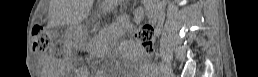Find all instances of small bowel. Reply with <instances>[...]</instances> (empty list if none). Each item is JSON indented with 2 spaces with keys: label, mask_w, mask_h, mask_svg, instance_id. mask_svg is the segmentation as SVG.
Here are the masks:
<instances>
[{
  "label": "small bowel",
  "mask_w": 258,
  "mask_h": 77,
  "mask_svg": "<svg viewBox=\"0 0 258 77\" xmlns=\"http://www.w3.org/2000/svg\"><path fill=\"white\" fill-rule=\"evenodd\" d=\"M143 68H144V73H146L147 75H150L151 72L149 71L148 66L144 65Z\"/></svg>",
  "instance_id": "c3829d8e"
}]
</instances>
